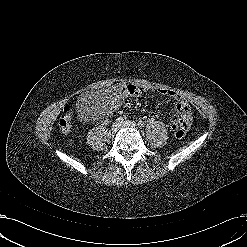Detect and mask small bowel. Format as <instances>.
I'll use <instances>...</instances> for the list:
<instances>
[{
    "label": "small bowel",
    "mask_w": 247,
    "mask_h": 247,
    "mask_svg": "<svg viewBox=\"0 0 247 247\" xmlns=\"http://www.w3.org/2000/svg\"><path fill=\"white\" fill-rule=\"evenodd\" d=\"M142 90H143V88H141V87H133L131 89V93L139 94V93H141ZM160 91H161V93H165V94H170V95L173 94L171 92L164 91V90H160ZM177 105H178L179 110H182L184 108V103L182 101H180V99H177ZM189 119H190L189 115H183L181 118L182 124L183 123L188 124Z\"/></svg>",
    "instance_id": "c3829d8e"
}]
</instances>
